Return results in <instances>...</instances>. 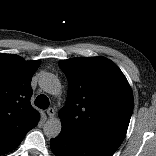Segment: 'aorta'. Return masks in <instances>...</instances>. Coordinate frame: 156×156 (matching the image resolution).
Segmentation results:
<instances>
[{"label": "aorta", "instance_id": "1", "mask_svg": "<svg viewBox=\"0 0 156 156\" xmlns=\"http://www.w3.org/2000/svg\"><path fill=\"white\" fill-rule=\"evenodd\" d=\"M40 88L51 95H57L60 93L61 85L57 77L52 73H44L39 78ZM62 129V123L60 118H50L48 119L44 126L43 131L47 138H56Z\"/></svg>", "mask_w": 156, "mask_h": 156}]
</instances>
